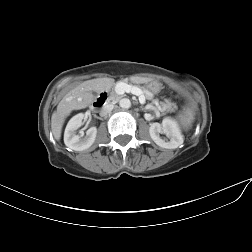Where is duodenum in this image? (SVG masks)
Instances as JSON below:
<instances>
[{"label":"duodenum","instance_id":"obj_1","mask_svg":"<svg viewBox=\"0 0 252 252\" xmlns=\"http://www.w3.org/2000/svg\"><path fill=\"white\" fill-rule=\"evenodd\" d=\"M109 100V93L103 92L98 98L93 102L92 107L94 110L101 109Z\"/></svg>","mask_w":252,"mask_h":252}]
</instances>
